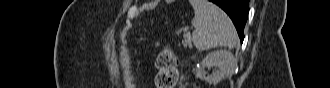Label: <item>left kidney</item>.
Listing matches in <instances>:
<instances>
[{"label": "left kidney", "instance_id": "1", "mask_svg": "<svg viewBox=\"0 0 330 88\" xmlns=\"http://www.w3.org/2000/svg\"><path fill=\"white\" fill-rule=\"evenodd\" d=\"M235 59L233 54L227 50H217L209 53L201 63L200 69L197 71V76L204 79L210 84H218L225 79L235 67ZM217 68L211 75L205 76L202 74L204 68Z\"/></svg>", "mask_w": 330, "mask_h": 88}]
</instances>
